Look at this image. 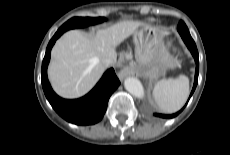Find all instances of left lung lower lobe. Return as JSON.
<instances>
[{"label": "left lung lower lobe", "mask_w": 230, "mask_h": 155, "mask_svg": "<svg viewBox=\"0 0 230 155\" xmlns=\"http://www.w3.org/2000/svg\"><path fill=\"white\" fill-rule=\"evenodd\" d=\"M183 41L185 42L186 46L188 47V49L190 50L191 54L193 55L194 59H195V62H196V73H195V80H194V85H193V89H192V92L189 96V99L190 97L192 96L196 86H197V83H198V74H199V55H198V51H197V47H196V44L194 42V40L192 38H188V37H184L183 38ZM188 99V101H189ZM187 101V103H188ZM186 103V104H187ZM184 108H182L180 111H178L177 113L175 114H171V115H165V114H159V113H155L154 116L156 117H160V118H164V119H170V118H174L176 117Z\"/></svg>", "instance_id": "obj_1"}]
</instances>
